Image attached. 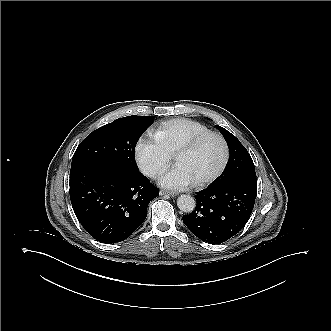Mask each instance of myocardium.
I'll use <instances>...</instances> for the list:
<instances>
[{
    "label": "myocardium",
    "mask_w": 331,
    "mask_h": 331,
    "mask_svg": "<svg viewBox=\"0 0 331 331\" xmlns=\"http://www.w3.org/2000/svg\"><path fill=\"white\" fill-rule=\"evenodd\" d=\"M208 138H215L219 141L220 146H221V151H222V157H221V161L220 164L218 165V167L216 168V170L209 176L202 178V179H196L194 180V185L196 186H202L208 183L213 182L214 180H216L224 171L227 162H228V148H227V144L224 140V138L217 132H206L203 133L201 135H198L194 138H192L191 140H189L188 142H186L176 153L175 155V164L176 166L180 164V161L182 159V157L188 153L189 151L193 150L197 145H199L200 143H202L203 141H205Z\"/></svg>",
    "instance_id": "f54148a6"
}]
</instances>
